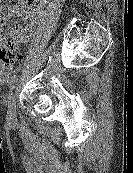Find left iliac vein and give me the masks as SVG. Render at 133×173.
I'll use <instances>...</instances> for the list:
<instances>
[{"label": "left iliac vein", "mask_w": 133, "mask_h": 173, "mask_svg": "<svg viewBox=\"0 0 133 173\" xmlns=\"http://www.w3.org/2000/svg\"><path fill=\"white\" fill-rule=\"evenodd\" d=\"M6 119L9 124H14L16 121V102L14 92H11L8 97V109Z\"/></svg>", "instance_id": "left-iliac-vein-1"}]
</instances>
